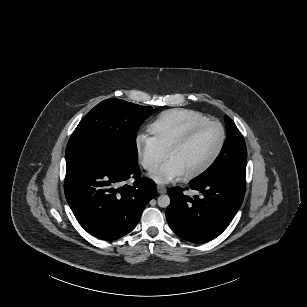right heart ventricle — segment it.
<instances>
[{"mask_svg":"<svg viewBox=\"0 0 307 307\" xmlns=\"http://www.w3.org/2000/svg\"><path fill=\"white\" fill-rule=\"evenodd\" d=\"M207 121L208 119L197 111L176 108L160 113L150 124L149 130L162 151H166L174 142Z\"/></svg>","mask_w":307,"mask_h":307,"instance_id":"obj_1","label":"right heart ventricle"}]
</instances>
